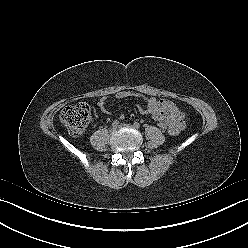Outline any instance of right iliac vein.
Returning a JSON list of instances; mask_svg holds the SVG:
<instances>
[{
  "instance_id": "right-iliac-vein-1",
  "label": "right iliac vein",
  "mask_w": 248,
  "mask_h": 248,
  "mask_svg": "<svg viewBox=\"0 0 248 248\" xmlns=\"http://www.w3.org/2000/svg\"><path fill=\"white\" fill-rule=\"evenodd\" d=\"M115 131H116V128H115V127H113V128H111V129H110V131H109V132H110V133H114Z\"/></svg>"
}]
</instances>
